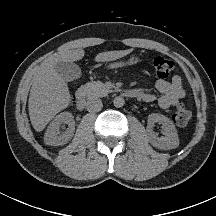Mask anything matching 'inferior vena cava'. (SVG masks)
Instances as JSON below:
<instances>
[{
    "instance_id": "602c4592",
    "label": "inferior vena cava",
    "mask_w": 216,
    "mask_h": 216,
    "mask_svg": "<svg viewBox=\"0 0 216 216\" xmlns=\"http://www.w3.org/2000/svg\"><path fill=\"white\" fill-rule=\"evenodd\" d=\"M103 107L102 101L99 98H91L87 101V110L90 112H99Z\"/></svg>"
}]
</instances>
